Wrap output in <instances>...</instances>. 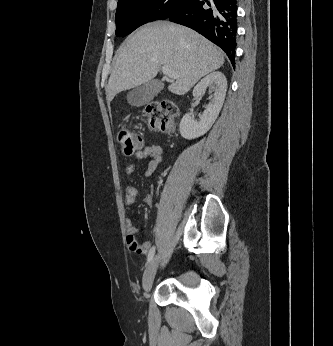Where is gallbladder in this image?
<instances>
[{"instance_id":"gallbladder-1","label":"gallbladder","mask_w":333,"mask_h":346,"mask_svg":"<svg viewBox=\"0 0 333 346\" xmlns=\"http://www.w3.org/2000/svg\"><path fill=\"white\" fill-rule=\"evenodd\" d=\"M164 85L159 80H150L149 82L133 88L127 94V101L135 107L143 106L149 103L163 89Z\"/></svg>"}]
</instances>
